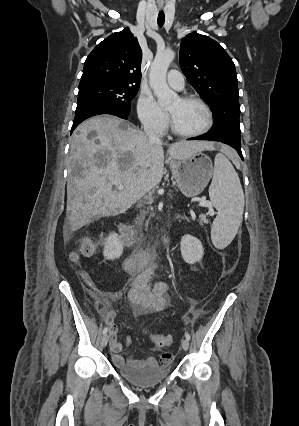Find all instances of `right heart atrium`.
Segmentation results:
<instances>
[{
  "mask_svg": "<svg viewBox=\"0 0 299 426\" xmlns=\"http://www.w3.org/2000/svg\"><path fill=\"white\" fill-rule=\"evenodd\" d=\"M137 114L142 125L155 133H162L168 125L166 112L149 91H142L137 102Z\"/></svg>",
  "mask_w": 299,
  "mask_h": 426,
  "instance_id": "right-heart-atrium-1",
  "label": "right heart atrium"
}]
</instances>
